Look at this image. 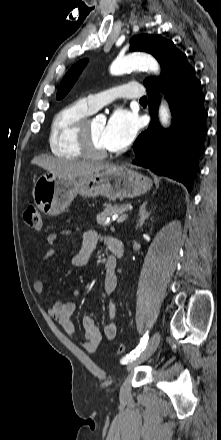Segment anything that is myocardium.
<instances>
[{
	"label": "myocardium",
	"instance_id": "myocardium-1",
	"mask_svg": "<svg viewBox=\"0 0 221 440\" xmlns=\"http://www.w3.org/2000/svg\"><path fill=\"white\" fill-rule=\"evenodd\" d=\"M91 120L92 118L87 116L78 124L77 141L85 157L103 159L109 155V152L106 150H100L94 145L89 130Z\"/></svg>",
	"mask_w": 221,
	"mask_h": 440
}]
</instances>
